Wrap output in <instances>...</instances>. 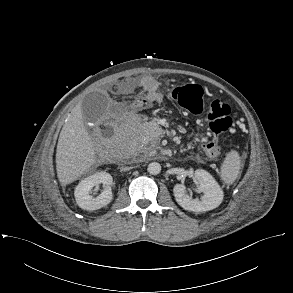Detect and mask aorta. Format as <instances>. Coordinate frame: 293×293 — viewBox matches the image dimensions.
I'll return each mask as SVG.
<instances>
[{
	"label": "aorta",
	"mask_w": 293,
	"mask_h": 293,
	"mask_svg": "<svg viewBox=\"0 0 293 293\" xmlns=\"http://www.w3.org/2000/svg\"><path fill=\"white\" fill-rule=\"evenodd\" d=\"M147 171L152 175H157L161 172V165L158 162H151L148 165Z\"/></svg>",
	"instance_id": "762f6f07"
}]
</instances>
